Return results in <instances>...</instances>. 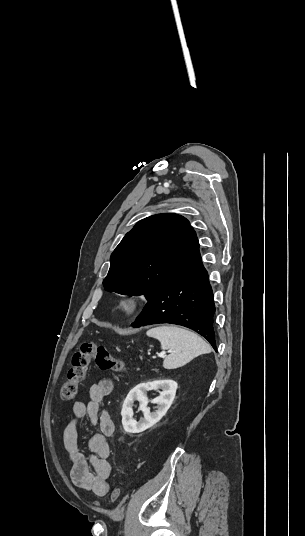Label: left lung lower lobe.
<instances>
[{
    "mask_svg": "<svg viewBox=\"0 0 305 536\" xmlns=\"http://www.w3.org/2000/svg\"><path fill=\"white\" fill-rule=\"evenodd\" d=\"M213 292L199 255L146 304L133 327L170 323L188 327L206 338L216 350Z\"/></svg>",
    "mask_w": 305,
    "mask_h": 536,
    "instance_id": "0a47b994",
    "label": "left lung lower lobe"
}]
</instances>
